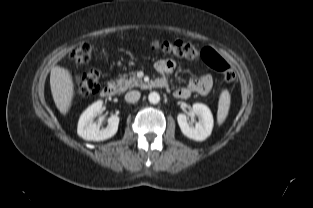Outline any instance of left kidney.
<instances>
[{
    "instance_id": "obj_1",
    "label": "left kidney",
    "mask_w": 313,
    "mask_h": 208,
    "mask_svg": "<svg viewBox=\"0 0 313 208\" xmlns=\"http://www.w3.org/2000/svg\"><path fill=\"white\" fill-rule=\"evenodd\" d=\"M193 112L198 116L199 121L191 126L185 114H178L177 121L182 133L193 140L203 141L210 136L213 128V116L210 109L201 103L193 104Z\"/></svg>"
}]
</instances>
